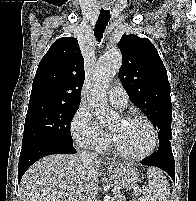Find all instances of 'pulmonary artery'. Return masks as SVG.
<instances>
[{"instance_id":"obj_1","label":"pulmonary artery","mask_w":196,"mask_h":201,"mask_svg":"<svg viewBox=\"0 0 196 201\" xmlns=\"http://www.w3.org/2000/svg\"><path fill=\"white\" fill-rule=\"evenodd\" d=\"M110 103L117 108H125L128 103L126 91L121 86H115L108 92Z\"/></svg>"}]
</instances>
